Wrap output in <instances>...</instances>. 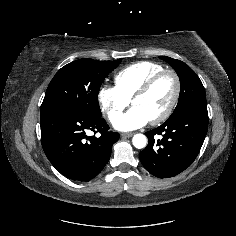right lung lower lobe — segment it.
<instances>
[{"label": "right lung lower lobe", "mask_w": 236, "mask_h": 236, "mask_svg": "<svg viewBox=\"0 0 236 236\" xmlns=\"http://www.w3.org/2000/svg\"><path fill=\"white\" fill-rule=\"evenodd\" d=\"M43 150L51 164L64 176L89 181L109 161L119 133L109 132L100 116H90L71 108H59L40 116ZM88 130L100 137L86 135Z\"/></svg>", "instance_id": "obj_1"}]
</instances>
